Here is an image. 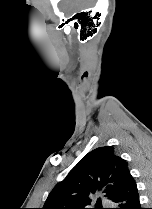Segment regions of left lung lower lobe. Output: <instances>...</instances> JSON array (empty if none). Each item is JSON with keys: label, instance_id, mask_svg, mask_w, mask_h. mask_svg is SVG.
<instances>
[{"label": "left lung lower lobe", "instance_id": "1", "mask_svg": "<svg viewBox=\"0 0 152 209\" xmlns=\"http://www.w3.org/2000/svg\"><path fill=\"white\" fill-rule=\"evenodd\" d=\"M112 201L116 206L114 209H141L137 185L132 176Z\"/></svg>", "mask_w": 152, "mask_h": 209}]
</instances>
